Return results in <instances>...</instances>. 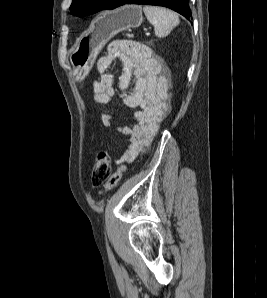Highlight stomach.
<instances>
[{"mask_svg":"<svg viewBox=\"0 0 267 298\" xmlns=\"http://www.w3.org/2000/svg\"><path fill=\"white\" fill-rule=\"evenodd\" d=\"M142 21V8L138 5H124L101 15L90 33L79 41L71 53L70 61L76 80L85 78L103 46L115 34L137 28Z\"/></svg>","mask_w":267,"mask_h":298,"instance_id":"stomach-1","label":"stomach"}]
</instances>
